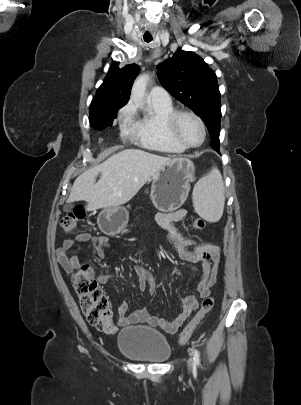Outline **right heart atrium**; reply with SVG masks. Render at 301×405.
<instances>
[{"label": "right heart atrium", "instance_id": "right-heart-atrium-1", "mask_svg": "<svg viewBox=\"0 0 301 405\" xmlns=\"http://www.w3.org/2000/svg\"><path fill=\"white\" fill-rule=\"evenodd\" d=\"M134 114V109L131 103L126 104L122 107L118 113V120L122 125H128Z\"/></svg>", "mask_w": 301, "mask_h": 405}]
</instances>
